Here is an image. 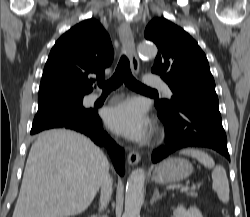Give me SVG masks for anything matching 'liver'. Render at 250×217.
Wrapping results in <instances>:
<instances>
[{"instance_id": "1", "label": "liver", "mask_w": 250, "mask_h": 217, "mask_svg": "<svg viewBox=\"0 0 250 217\" xmlns=\"http://www.w3.org/2000/svg\"><path fill=\"white\" fill-rule=\"evenodd\" d=\"M109 162L85 136L54 129L33 143L13 217H67L81 214L94 200Z\"/></svg>"}]
</instances>
